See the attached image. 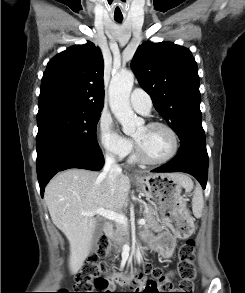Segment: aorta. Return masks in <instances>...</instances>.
I'll use <instances>...</instances> for the list:
<instances>
[{
	"label": "aorta",
	"instance_id": "aorta-1",
	"mask_svg": "<svg viewBox=\"0 0 245 293\" xmlns=\"http://www.w3.org/2000/svg\"><path fill=\"white\" fill-rule=\"evenodd\" d=\"M134 74L131 71H123L114 75L109 85V103L114 116L122 125L125 134L131 135L136 131L143 120L138 118L129 102L133 88Z\"/></svg>",
	"mask_w": 245,
	"mask_h": 293
}]
</instances>
